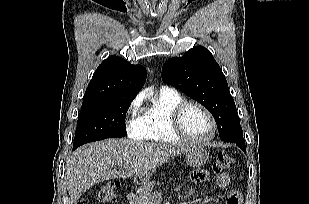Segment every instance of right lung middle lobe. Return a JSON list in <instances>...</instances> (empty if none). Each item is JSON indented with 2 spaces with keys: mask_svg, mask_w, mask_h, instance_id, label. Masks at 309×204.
I'll return each mask as SVG.
<instances>
[{
  "mask_svg": "<svg viewBox=\"0 0 309 204\" xmlns=\"http://www.w3.org/2000/svg\"><path fill=\"white\" fill-rule=\"evenodd\" d=\"M133 99L111 98L82 104L73 148L106 138L125 137V116Z\"/></svg>",
  "mask_w": 309,
  "mask_h": 204,
  "instance_id": "dd1d6c3e",
  "label": "right lung middle lobe"
}]
</instances>
